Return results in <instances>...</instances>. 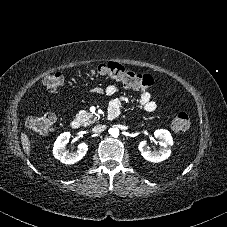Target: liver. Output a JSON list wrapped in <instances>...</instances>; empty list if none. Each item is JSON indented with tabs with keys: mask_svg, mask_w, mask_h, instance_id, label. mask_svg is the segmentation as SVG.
I'll use <instances>...</instances> for the list:
<instances>
[{
	"mask_svg": "<svg viewBox=\"0 0 227 227\" xmlns=\"http://www.w3.org/2000/svg\"><path fill=\"white\" fill-rule=\"evenodd\" d=\"M21 143L25 153L29 156L31 151L30 141L29 137L24 132L21 133Z\"/></svg>",
	"mask_w": 227,
	"mask_h": 227,
	"instance_id": "liver-1",
	"label": "liver"
}]
</instances>
